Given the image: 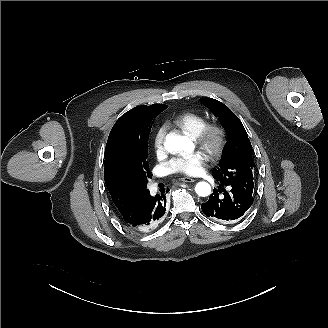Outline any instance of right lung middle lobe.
<instances>
[{
  "label": "right lung middle lobe",
  "instance_id": "1",
  "mask_svg": "<svg viewBox=\"0 0 328 328\" xmlns=\"http://www.w3.org/2000/svg\"><path fill=\"white\" fill-rule=\"evenodd\" d=\"M162 110L151 106L121 122L112 139V160L118 178L130 190L148 193V134L153 120Z\"/></svg>",
  "mask_w": 328,
  "mask_h": 328
}]
</instances>
